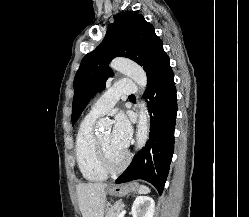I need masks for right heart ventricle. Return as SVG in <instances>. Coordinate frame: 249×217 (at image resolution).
<instances>
[{"label":"right heart ventricle","mask_w":249,"mask_h":217,"mask_svg":"<svg viewBox=\"0 0 249 217\" xmlns=\"http://www.w3.org/2000/svg\"><path fill=\"white\" fill-rule=\"evenodd\" d=\"M95 117L87 115L80 123L75 140V157L82 176L92 182L104 181L108 172L103 168L96 145L93 126Z\"/></svg>","instance_id":"right-heart-ventricle-1"}]
</instances>
